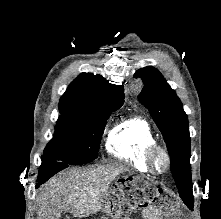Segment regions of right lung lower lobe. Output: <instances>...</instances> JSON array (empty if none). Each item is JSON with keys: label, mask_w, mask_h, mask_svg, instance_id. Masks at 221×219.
<instances>
[{"label": "right lung lower lobe", "mask_w": 221, "mask_h": 219, "mask_svg": "<svg viewBox=\"0 0 221 219\" xmlns=\"http://www.w3.org/2000/svg\"><path fill=\"white\" fill-rule=\"evenodd\" d=\"M66 167H68V164L61 162H44L39 169L38 183L36 184V187H39V185L46 182L55 173Z\"/></svg>", "instance_id": "1"}]
</instances>
